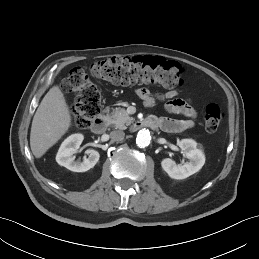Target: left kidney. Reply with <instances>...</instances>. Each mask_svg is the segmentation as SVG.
<instances>
[{
	"instance_id": "obj_1",
	"label": "left kidney",
	"mask_w": 259,
	"mask_h": 259,
	"mask_svg": "<svg viewBox=\"0 0 259 259\" xmlns=\"http://www.w3.org/2000/svg\"><path fill=\"white\" fill-rule=\"evenodd\" d=\"M179 147L183 155L189 159L184 164H176L170 158H165L161 162L163 170L173 179H185L198 172L205 163V156L202 150L197 148V143L192 139H183L179 142Z\"/></svg>"
}]
</instances>
